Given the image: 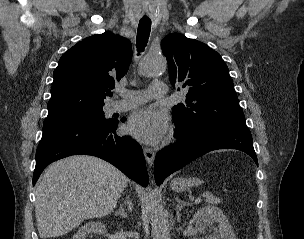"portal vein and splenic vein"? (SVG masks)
I'll list each match as a JSON object with an SVG mask.
<instances>
[{"label": "portal vein and splenic vein", "mask_w": 304, "mask_h": 239, "mask_svg": "<svg viewBox=\"0 0 304 239\" xmlns=\"http://www.w3.org/2000/svg\"><path fill=\"white\" fill-rule=\"evenodd\" d=\"M204 196V195H203ZM200 198L195 199V203H199L200 202Z\"/></svg>", "instance_id": "obj_1"}]
</instances>
